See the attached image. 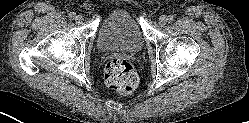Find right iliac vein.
Returning a JSON list of instances; mask_svg holds the SVG:
<instances>
[{
	"label": "right iliac vein",
	"mask_w": 249,
	"mask_h": 123,
	"mask_svg": "<svg viewBox=\"0 0 249 123\" xmlns=\"http://www.w3.org/2000/svg\"><path fill=\"white\" fill-rule=\"evenodd\" d=\"M84 18L82 15H78L75 18L76 23L81 24L83 22Z\"/></svg>",
	"instance_id": "63e3f726"
}]
</instances>
